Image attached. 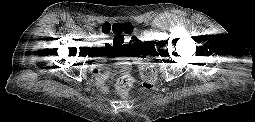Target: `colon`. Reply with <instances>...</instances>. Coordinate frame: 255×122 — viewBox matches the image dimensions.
Segmentation results:
<instances>
[{
  "label": "colon",
  "mask_w": 255,
  "mask_h": 122,
  "mask_svg": "<svg viewBox=\"0 0 255 122\" xmlns=\"http://www.w3.org/2000/svg\"><path fill=\"white\" fill-rule=\"evenodd\" d=\"M103 31L105 34H125L130 38L131 43V35L134 33V27L132 24H105L103 27ZM133 41L135 37L132 38ZM141 75H142V88L146 91H149L154 88L157 73L154 65L151 62H144L141 65ZM135 84V78L130 73H121L115 77V88L117 92L120 94H127L131 88Z\"/></svg>",
  "instance_id": "1"
}]
</instances>
